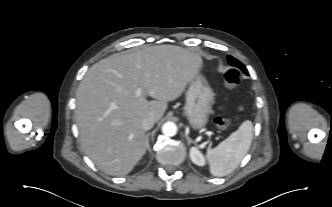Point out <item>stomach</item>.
<instances>
[{
    "label": "stomach",
    "mask_w": 332,
    "mask_h": 207,
    "mask_svg": "<svg viewBox=\"0 0 332 207\" xmlns=\"http://www.w3.org/2000/svg\"><path fill=\"white\" fill-rule=\"evenodd\" d=\"M213 102L214 93L211 87L203 75L197 74L189 82L184 106V114L194 130L206 126Z\"/></svg>",
    "instance_id": "stomach-1"
}]
</instances>
